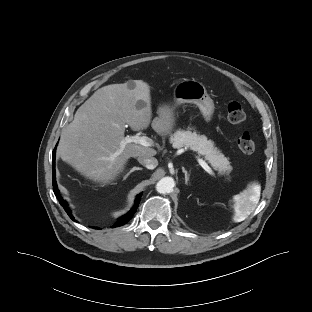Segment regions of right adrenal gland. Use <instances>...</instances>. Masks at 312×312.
<instances>
[{
  "label": "right adrenal gland",
  "mask_w": 312,
  "mask_h": 312,
  "mask_svg": "<svg viewBox=\"0 0 312 312\" xmlns=\"http://www.w3.org/2000/svg\"><path fill=\"white\" fill-rule=\"evenodd\" d=\"M136 170H142V168H141V167H133V168H131V169L124 175L123 180H126V179L128 178V176H129L131 173H133L134 171H136Z\"/></svg>",
  "instance_id": "right-adrenal-gland-1"
}]
</instances>
